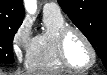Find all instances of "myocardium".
I'll use <instances>...</instances> for the list:
<instances>
[{"mask_svg": "<svg viewBox=\"0 0 107 75\" xmlns=\"http://www.w3.org/2000/svg\"><path fill=\"white\" fill-rule=\"evenodd\" d=\"M70 33L78 34L88 46L90 53H91V61L88 65L83 66V67H78V66L73 65L69 61L67 54H66V50H65V44H66V39ZM56 49H57V56H58L60 63L65 68L73 70V71H78V72L87 71L95 65L96 60H97L96 50L92 42L90 41V39L86 36V34L83 31L73 26L66 25L59 31L57 35V39H56Z\"/></svg>", "mask_w": 107, "mask_h": 75, "instance_id": "1", "label": "myocardium"}]
</instances>
